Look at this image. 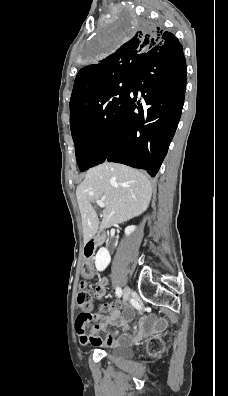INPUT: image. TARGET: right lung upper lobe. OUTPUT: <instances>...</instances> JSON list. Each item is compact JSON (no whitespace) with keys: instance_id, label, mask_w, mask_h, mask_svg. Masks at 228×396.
<instances>
[{"instance_id":"cb5924a9","label":"right lung upper lobe","mask_w":228,"mask_h":396,"mask_svg":"<svg viewBox=\"0 0 228 396\" xmlns=\"http://www.w3.org/2000/svg\"><path fill=\"white\" fill-rule=\"evenodd\" d=\"M180 45L178 39L160 27L143 26L112 54L82 68L76 76L70 99V120L78 116L114 82L131 79L134 70L148 54Z\"/></svg>"}]
</instances>
